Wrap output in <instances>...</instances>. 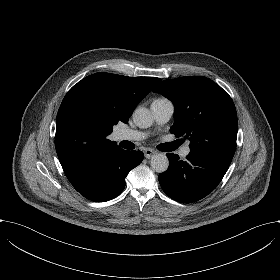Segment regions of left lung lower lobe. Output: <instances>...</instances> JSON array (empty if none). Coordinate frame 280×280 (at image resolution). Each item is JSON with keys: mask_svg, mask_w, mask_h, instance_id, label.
I'll return each instance as SVG.
<instances>
[{"mask_svg": "<svg viewBox=\"0 0 280 280\" xmlns=\"http://www.w3.org/2000/svg\"><path fill=\"white\" fill-rule=\"evenodd\" d=\"M169 168L159 174L163 191L172 199L191 203L211 193L222 180L232 159L227 157L192 152L186 160L168 153Z\"/></svg>", "mask_w": 280, "mask_h": 280, "instance_id": "obj_1", "label": "left lung lower lobe"}]
</instances>
